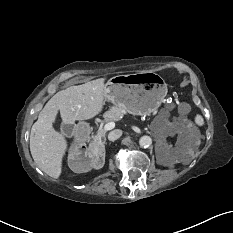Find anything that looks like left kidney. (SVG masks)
Returning a JSON list of instances; mask_svg holds the SVG:
<instances>
[{"instance_id": "obj_1", "label": "left kidney", "mask_w": 233, "mask_h": 233, "mask_svg": "<svg viewBox=\"0 0 233 233\" xmlns=\"http://www.w3.org/2000/svg\"><path fill=\"white\" fill-rule=\"evenodd\" d=\"M186 150L184 146H181V148L178 149V151H173L170 150V148L167 146L166 147V151H167V155L170 157V159H172L174 162H178L180 161V159L182 158L180 155V150Z\"/></svg>"}]
</instances>
